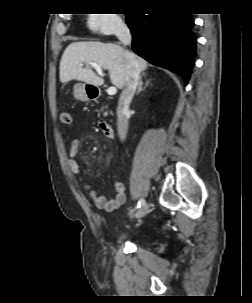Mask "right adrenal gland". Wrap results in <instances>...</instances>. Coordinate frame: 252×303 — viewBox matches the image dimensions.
Here are the masks:
<instances>
[{"mask_svg": "<svg viewBox=\"0 0 252 303\" xmlns=\"http://www.w3.org/2000/svg\"><path fill=\"white\" fill-rule=\"evenodd\" d=\"M144 75H145V74L143 73V74L140 76L139 85H138V90H137V92H136V95H138L141 91H143V90L146 88V86H148V84H149V81H147V82L145 83V86L143 87L142 77H143Z\"/></svg>", "mask_w": 252, "mask_h": 303, "instance_id": "right-adrenal-gland-1", "label": "right adrenal gland"}]
</instances>
